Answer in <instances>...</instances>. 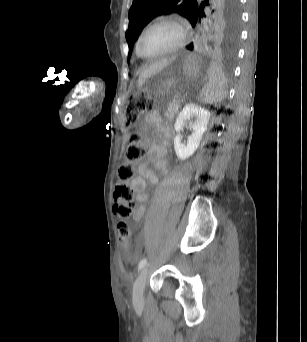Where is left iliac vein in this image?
I'll list each match as a JSON object with an SVG mask.
<instances>
[{"label": "left iliac vein", "mask_w": 307, "mask_h": 342, "mask_svg": "<svg viewBox=\"0 0 307 342\" xmlns=\"http://www.w3.org/2000/svg\"><path fill=\"white\" fill-rule=\"evenodd\" d=\"M149 267H144L138 275V278L134 285L133 290V302L134 303H141L144 300V287L146 283V278L148 274Z\"/></svg>", "instance_id": "4c4485c4"}]
</instances>
